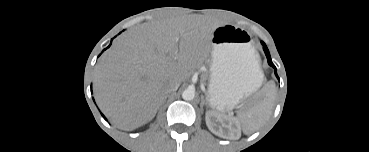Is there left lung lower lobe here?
I'll return each instance as SVG.
<instances>
[{
    "label": "left lung lower lobe",
    "mask_w": 369,
    "mask_h": 152,
    "mask_svg": "<svg viewBox=\"0 0 369 152\" xmlns=\"http://www.w3.org/2000/svg\"><path fill=\"white\" fill-rule=\"evenodd\" d=\"M262 45H263V49H264V52H265V54H266V57H267V59H268V63H269V65H270V66H272V67L275 69V75H276V77L279 79V77H278V75H277V73H276V67H275V66H274V64L272 63V60H271V57H270L269 51H268V49H267V47H266L265 43H264V42H262Z\"/></svg>",
    "instance_id": "obj_1"
}]
</instances>
